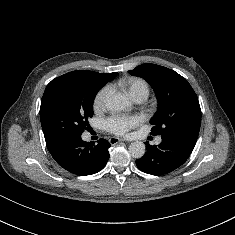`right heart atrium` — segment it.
<instances>
[{"mask_svg":"<svg viewBox=\"0 0 235 235\" xmlns=\"http://www.w3.org/2000/svg\"><path fill=\"white\" fill-rule=\"evenodd\" d=\"M109 92H110V88L108 86H104L97 92L93 101L94 109L99 110L104 106L105 100Z\"/></svg>","mask_w":235,"mask_h":235,"instance_id":"right-heart-atrium-1","label":"right heart atrium"}]
</instances>
